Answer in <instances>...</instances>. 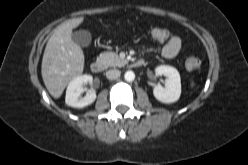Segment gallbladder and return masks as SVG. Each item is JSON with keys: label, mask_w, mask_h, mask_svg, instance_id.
<instances>
[{"label": "gallbladder", "mask_w": 248, "mask_h": 165, "mask_svg": "<svg viewBox=\"0 0 248 165\" xmlns=\"http://www.w3.org/2000/svg\"><path fill=\"white\" fill-rule=\"evenodd\" d=\"M72 40L82 47H87L91 43V34L87 30H79L72 33Z\"/></svg>", "instance_id": "1"}]
</instances>
